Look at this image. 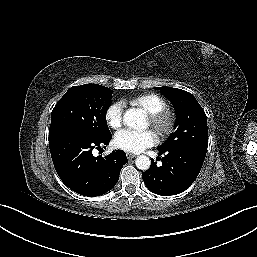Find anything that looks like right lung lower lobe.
Instances as JSON below:
<instances>
[{"instance_id": "1", "label": "right lung lower lobe", "mask_w": 257, "mask_h": 257, "mask_svg": "<svg viewBox=\"0 0 257 257\" xmlns=\"http://www.w3.org/2000/svg\"><path fill=\"white\" fill-rule=\"evenodd\" d=\"M111 138L97 139L78 131L49 134L51 157L62 182L87 197L110 191L127 163L126 154L116 150L104 158L94 157L92 150L96 146L108 145Z\"/></svg>"}]
</instances>
